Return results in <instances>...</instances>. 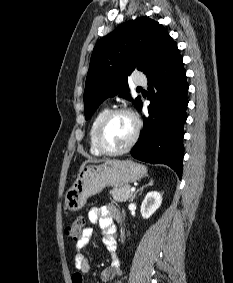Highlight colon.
<instances>
[{
	"mask_svg": "<svg viewBox=\"0 0 233 283\" xmlns=\"http://www.w3.org/2000/svg\"><path fill=\"white\" fill-rule=\"evenodd\" d=\"M85 220L82 216L76 217L65 228V234L72 239H79L84 230Z\"/></svg>",
	"mask_w": 233,
	"mask_h": 283,
	"instance_id": "obj_1",
	"label": "colon"
}]
</instances>
